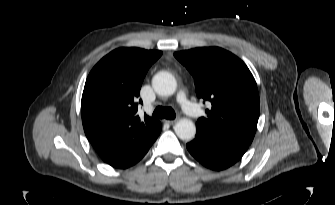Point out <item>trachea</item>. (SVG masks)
Here are the masks:
<instances>
[{
    "label": "trachea",
    "instance_id": "trachea-1",
    "mask_svg": "<svg viewBox=\"0 0 335 205\" xmlns=\"http://www.w3.org/2000/svg\"><path fill=\"white\" fill-rule=\"evenodd\" d=\"M153 116L157 117V118H166V119H175L176 114L174 112V110L171 107H162V106H158L154 112H153Z\"/></svg>",
    "mask_w": 335,
    "mask_h": 205
}]
</instances>
